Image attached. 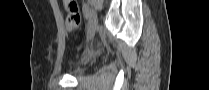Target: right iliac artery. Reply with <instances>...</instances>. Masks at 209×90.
Instances as JSON below:
<instances>
[{
  "mask_svg": "<svg viewBox=\"0 0 209 90\" xmlns=\"http://www.w3.org/2000/svg\"><path fill=\"white\" fill-rule=\"evenodd\" d=\"M90 9L87 5L83 6V14L85 16L86 19L90 18Z\"/></svg>",
  "mask_w": 209,
  "mask_h": 90,
  "instance_id": "right-iliac-artery-1",
  "label": "right iliac artery"
}]
</instances>
